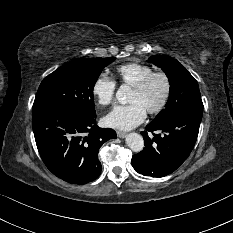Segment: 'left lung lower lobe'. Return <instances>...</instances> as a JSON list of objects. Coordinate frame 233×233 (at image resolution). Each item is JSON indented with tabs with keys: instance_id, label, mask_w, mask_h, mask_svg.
<instances>
[{
	"instance_id": "obj_1",
	"label": "left lung lower lobe",
	"mask_w": 233,
	"mask_h": 233,
	"mask_svg": "<svg viewBox=\"0 0 233 233\" xmlns=\"http://www.w3.org/2000/svg\"><path fill=\"white\" fill-rule=\"evenodd\" d=\"M203 104L188 107L177 116L162 124H148V132H141L145 148L132 157V166L140 174L151 177H164L175 171L191 153L202 120Z\"/></svg>"
}]
</instances>
